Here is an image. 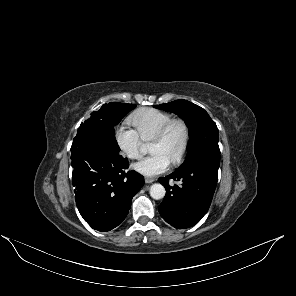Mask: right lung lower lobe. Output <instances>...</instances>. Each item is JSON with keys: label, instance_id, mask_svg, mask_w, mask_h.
Returning a JSON list of instances; mask_svg holds the SVG:
<instances>
[{"label": "right lung lower lobe", "instance_id": "98d812e1", "mask_svg": "<svg viewBox=\"0 0 296 296\" xmlns=\"http://www.w3.org/2000/svg\"><path fill=\"white\" fill-rule=\"evenodd\" d=\"M72 183L83 219L95 230L110 231L126 218L144 179L126 172L128 159L96 134H77L71 146Z\"/></svg>", "mask_w": 296, "mask_h": 296}]
</instances>
